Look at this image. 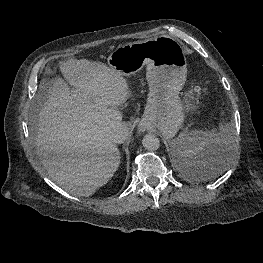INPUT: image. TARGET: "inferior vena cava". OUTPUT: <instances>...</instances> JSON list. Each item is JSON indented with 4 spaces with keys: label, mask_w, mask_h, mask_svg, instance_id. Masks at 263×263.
Wrapping results in <instances>:
<instances>
[{
    "label": "inferior vena cava",
    "mask_w": 263,
    "mask_h": 263,
    "mask_svg": "<svg viewBox=\"0 0 263 263\" xmlns=\"http://www.w3.org/2000/svg\"><path fill=\"white\" fill-rule=\"evenodd\" d=\"M128 137V128L124 123L117 124L112 132L111 139L114 143L119 144Z\"/></svg>",
    "instance_id": "1"
}]
</instances>
